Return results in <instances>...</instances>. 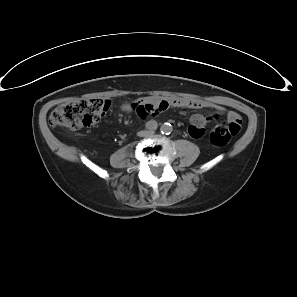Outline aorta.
<instances>
[{
  "mask_svg": "<svg viewBox=\"0 0 297 297\" xmlns=\"http://www.w3.org/2000/svg\"><path fill=\"white\" fill-rule=\"evenodd\" d=\"M160 131L163 134H170L172 132V126H171V124H169V123L162 124L161 127H160Z\"/></svg>",
  "mask_w": 297,
  "mask_h": 297,
  "instance_id": "aorta-1",
  "label": "aorta"
}]
</instances>
